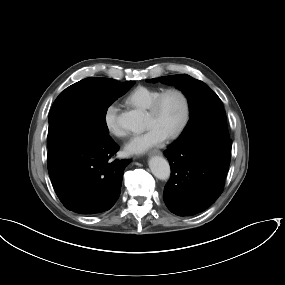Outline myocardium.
<instances>
[{"label": "myocardium", "mask_w": 285, "mask_h": 285, "mask_svg": "<svg viewBox=\"0 0 285 285\" xmlns=\"http://www.w3.org/2000/svg\"><path fill=\"white\" fill-rule=\"evenodd\" d=\"M171 93L178 94L181 97L183 104H184V113H183V117H182L180 124L172 133L166 136L168 139H175L183 133V131L185 130V128L187 127L189 123V119L191 115V104H190V99L187 93L184 90L177 88V87L167 88L161 91L157 95V97L152 101V103L148 107V112L153 115L157 114L162 104V101L167 95Z\"/></svg>", "instance_id": "f54148a6"}]
</instances>
